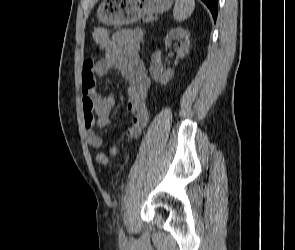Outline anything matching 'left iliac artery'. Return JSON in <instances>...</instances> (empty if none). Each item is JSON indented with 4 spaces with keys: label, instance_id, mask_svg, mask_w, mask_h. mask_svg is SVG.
Segmentation results:
<instances>
[{
    "label": "left iliac artery",
    "instance_id": "left-iliac-artery-1",
    "mask_svg": "<svg viewBox=\"0 0 295 250\" xmlns=\"http://www.w3.org/2000/svg\"><path fill=\"white\" fill-rule=\"evenodd\" d=\"M119 237H120V239H124L125 238V234H124V232H123L122 229H120Z\"/></svg>",
    "mask_w": 295,
    "mask_h": 250
}]
</instances>
